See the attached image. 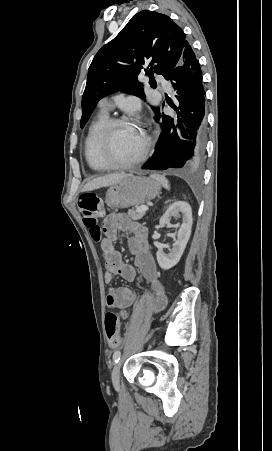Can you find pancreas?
Segmentation results:
<instances>
[{"instance_id":"1","label":"pancreas","mask_w":272,"mask_h":451,"mask_svg":"<svg viewBox=\"0 0 272 451\" xmlns=\"http://www.w3.org/2000/svg\"><path fill=\"white\" fill-rule=\"evenodd\" d=\"M128 216H130L131 220H141L143 216H145V212H136L135 208L133 210H128Z\"/></svg>"}]
</instances>
